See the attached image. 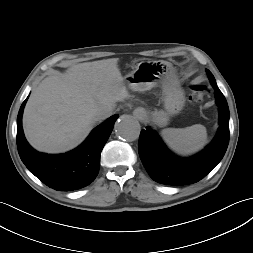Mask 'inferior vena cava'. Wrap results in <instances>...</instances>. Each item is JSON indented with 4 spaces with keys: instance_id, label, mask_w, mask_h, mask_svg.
I'll use <instances>...</instances> for the list:
<instances>
[{
    "instance_id": "inferior-vena-cava-1",
    "label": "inferior vena cava",
    "mask_w": 253,
    "mask_h": 253,
    "mask_svg": "<svg viewBox=\"0 0 253 253\" xmlns=\"http://www.w3.org/2000/svg\"><path fill=\"white\" fill-rule=\"evenodd\" d=\"M112 113H113V109L111 107L102 108V109L97 110L94 113V118L97 121L105 120L106 118L110 117Z\"/></svg>"
}]
</instances>
